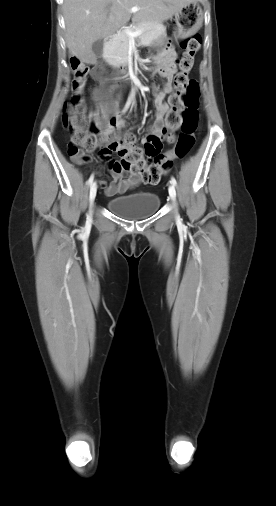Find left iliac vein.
Returning <instances> with one entry per match:
<instances>
[{"label": "left iliac vein", "instance_id": "4c4485c4", "mask_svg": "<svg viewBox=\"0 0 276 506\" xmlns=\"http://www.w3.org/2000/svg\"><path fill=\"white\" fill-rule=\"evenodd\" d=\"M169 195H170V198L171 200L174 202L175 201V198H176V190H175V187L173 185H170L169 186Z\"/></svg>", "mask_w": 276, "mask_h": 506}]
</instances>
